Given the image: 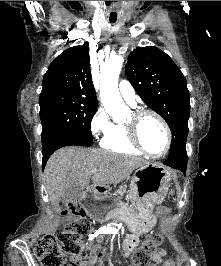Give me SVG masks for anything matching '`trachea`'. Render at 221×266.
Segmentation results:
<instances>
[{
  "mask_svg": "<svg viewBox=\"0 0 221 266\" xmlns=\"http://www.w3.org/2000/svg\"><path fill=\"white\" fill-rule=\"evenodd\" d=\"M111 23H115V21H110Z\"/></svg>",
  "mask_w": 221,
  "mask_h": 266,
  "instance_id": "1",
  "label": "trachea"
}]
</instances>
